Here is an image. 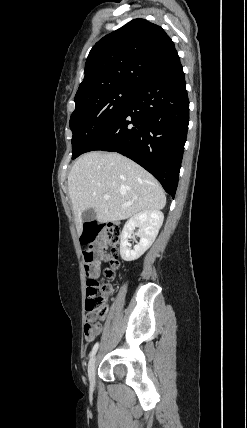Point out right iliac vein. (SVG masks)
I'll list each match as a JSON object with an SVG mask.
<instances>
[{"mask_svg": "<svg viewBox=\"0 0 247 428\" xmlns=\"http://www.w3.org/2000/svg\"><path fill=\"white\" fill-rule=\"evenodd\" d=\"M96 357H92L88 365V377L92 386L95 384Z\"/></svg>", "mask_w": 247, "mask_h": 428, "instance_id": "1", "label": "right iliac vein"}]
</instances>
